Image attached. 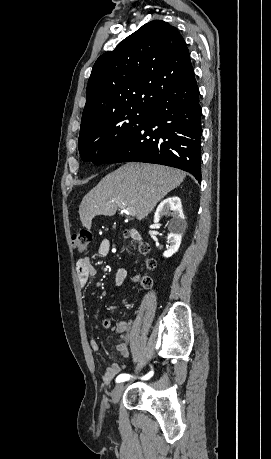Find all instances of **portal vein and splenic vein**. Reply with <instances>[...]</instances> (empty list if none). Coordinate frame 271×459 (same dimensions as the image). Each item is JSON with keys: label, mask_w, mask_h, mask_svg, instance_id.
<instances>
[{"label": "portal vein and splenic vein", "mask_w": 271, "mask_h": 459, "mask_svg": "<svg viewBox=\"0 0 271 459\" xmlns=\"http://www.w3.org/2000/svg\"><path fill=\"white\" fill-rule=\"evenodd\" d=\"M125 212L129 214V216H135V208H126Z\"/></svg>", "instance_id": "18ae733b"}]
</instances>
